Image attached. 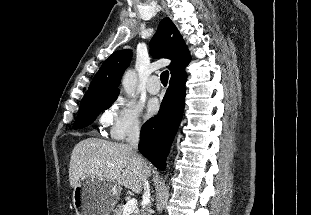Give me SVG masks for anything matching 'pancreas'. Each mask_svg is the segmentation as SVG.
Here are the masks:
<instances>
[{
  "label": "pancreas",
  "instance_id": "obj_1",
  "mask_svg": "<svg viewBox=\"0 0 311 215\" xmlns=\"http://www.w3.org/2000/svg\"><path fill=\"white\" fill-rule=\"evenodd\" d=\"M123 209L124 205L119 204L115 209H114V214L113 215H123Z\"/></svg>",
  "mask_w": 311,
  "mask_h": 215
}]
</instances>
